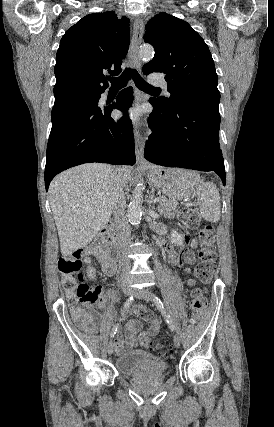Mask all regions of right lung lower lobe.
Segmentation results:
<instances>
[{
  "instance_id": "98d812e1",
  "label": "right lung lower lobe",
  "mask_w": 274,
  "mask_h": 427,
  "mask_svg": "<svg viewBox=\"0 0 274 427\" xmlns=\"http://www.w3.org/2000/svg\"><path fill=\"white\" fill-rule=\"evenodd\" d=\"M128 88L112 106L100 108L98 100L85 101L52 112V129L47 145L45 186L70 167L89 162L133 165L136 161L131 121L127 116L115 122L111 111L125 114L132 103Z\"/></svg>"
}]
</instances>
